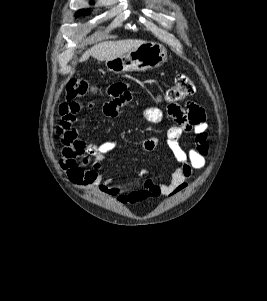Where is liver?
Listing matches in <instances>:
<instances>
[{"mask_svg": "<svg viewBox=\"0 0 267 301\" xmlns=\"http://www.w3.org/2000/svg\"><path fill=\"white\" fill-rule=\"evenodd\" d=\"M143 40H120V41H105L99 44L94 45L88 51H86L80 62H83L89 58L91 55L93 58L98 61H108L115 59L117 57L123 56L128 53L130 50L144 44Z\"/></svg>", "mask_w": 267, "mask_h": 301, "instance_id": "liver-1", "label": "liver"}]
</instances>
